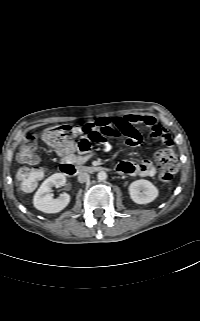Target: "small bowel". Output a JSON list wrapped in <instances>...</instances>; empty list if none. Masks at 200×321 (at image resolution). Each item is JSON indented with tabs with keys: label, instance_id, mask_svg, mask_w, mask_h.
Listing matches in <instances>:
<instances>
[{
	"label": "small bowel",
	"instance_id": "small-bowel-1",
	"mask_svg": "<svg viewBox=\"0 0 200 321\" xmlns=\"http://www.w3.org/2000/svg\"><path fill=\"white\" fill-rule=\"evenodd\" d=\"M88 125L95 129L109 128L113 135L123 138L129 146H137L140 143L141 134L139 128L142 126L146 127L149 129V135L152 138L159 139L166 147V149L158 151L155 157L163 151L170 149L173 144L170 134L151 115L129 114L122 117H100ZM110 150L111 145L105 142L103 144V151L109 152ZM60 154L64 156L67 163L84 162L91 156L87 154L78 158L70 151L60 152ZM116 170L123 175L142 177L153 176L156 173V168L150 159H145L140 163L121 161L116 166Z\"/></svg>",
	"mask_w": 200,
	"mask_h": 321
}]
</instances>
